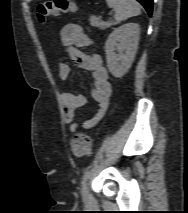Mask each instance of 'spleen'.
Here are the masks:
<instances>
[{"mask_svg":"<svg viewBox=\"0 0 188 213\" xmlns=\"http://www.w3.org/2000/svg\"><path fill=\"white\" fill-rule=\"evenodd\" d=\"M110 8L115 9V20L123 21L141 14L140 5L136 0H106Z\"/></svg>","mask_w":188,"mask_h":213,"instance_id":"3e777b00","label":"spleen"}]
</instances>
